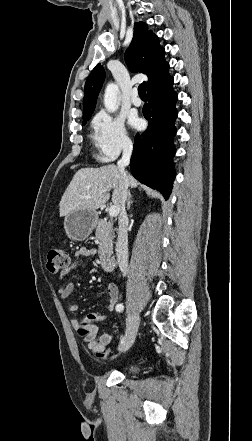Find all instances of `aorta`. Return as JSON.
Here are the masks:
<instances>
[{
    "label": "aorta",
    "instance_id": "obj_1",
    "mask_svg": "<svg viewBox=\"0 0 252 441\" xmlns=\"http://www.w3.org/2000/svg\"><path fill=\"white\" fill-rule=\"evenodd\" d=\"M119 88L114 83H109L104 93V106L108 112H115L118 109L117 95Z\"/></svg>",
    "mask_w": 252,
    "mask_h": 441
}]
</instances>
